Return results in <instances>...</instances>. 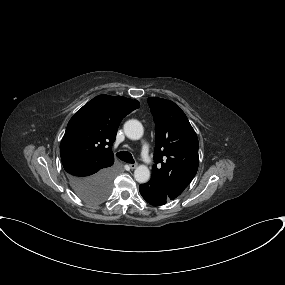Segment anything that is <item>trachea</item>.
I'll list each match as a JSON object with an SVG mask.
<instances>
[{"label":"trachea","mask_w":285,"mask_h":285,"mask_svg":"<svg viewBox=\"0 0 285 285\" xmlns=\"http://www.w3.org/2000/svg\"><path fill=\"white\" fill-rule=\"evenodd\" d=\"M116 156L127 163H134L132 155L127 151H120L116 153Z\"/></svg>","instance_id":"obj_1"}]
</instances>
